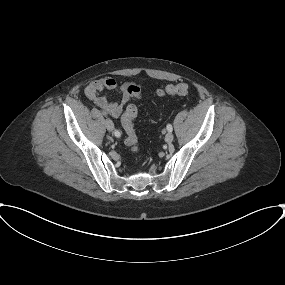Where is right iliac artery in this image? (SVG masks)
<instances>
[{"instance_id": "82829eb1", "label": "right iliac artery", "mask_w": 285, "mask_h": 285, "mask_svg": "<svg viewBox=\"0 0 285 285\" xmlns=\"http://www.w3.org/2000/svg\"><path fill=\"white\" fill-rule=\"evenodd\" d=\"M114 134H115L116 137H120V135H121L119 130H115Z\"/></svg>"}]
</instances>
